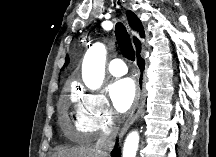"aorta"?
Instances as JSON below:
<instances>
[{
    "label": "aorta",
    "instance_id": "1",
    "mask_svg": "<svg viewBox=\"0 0 216 157\" xmlns=\"http://www.w3.org/2000/svg\"><path fill=\"white\" fill-rule=\"evenodd\" d=\"M106 47L102 43H95L88 49L82 66V78L85 85L96 90L101 87L105 75ZM139 144L137 132H131L124 143L123 157H136Z\"/></svg>",
    "mask_w": 216,
    "mask_h": 157
}]
</instances>
